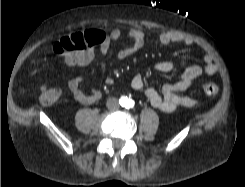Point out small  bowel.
I'll return each mask as SVG.
<instances>
[{
  "instance_id": "obj_1",
  "label": "small bowel",
  "mask_w": 245,
  "mask_h": 187,
  "mask_svg": "<svg viewBox=\"0 0 245 187\" xmlns=\"http://www.w3.org/2000/svg\"><path fill=\"white\" fill-rule=\"evenodd\" d=\"M86 37L91 46L98 44L101 56L109 54L112 42L122 38L129 39L132 42L131 45L117 52L116 56L120 60L130 57L140 50L146 41L145 33L138 29H129L127 31L113 29L109 33H105L98 28H90L86 31ZM156 37L160 44L165 46L172 43H181L186 47L194 45L191 37L174 31L160 30L157 32ZM94 57L95 52L93 49L87 48L81 51L66 53L62 61L67 66H86L92 62ZM203 63V68L198 65L187 68L180 75L176 83L163 86L160 92L153 87H146L143 77L139 74L132 78L131 86L134 90L144 91L150 104L162 112L171 113L181 107H193L198 102L180 93L191 87L203 73L212 76L217 72V66L210 55L203 57ZM154 68L159 73H169L174 69V65L170 61H163L157 63ZM83 80L84 76L78 75L68 82L67 88L73 98L81 104H91L98 101L102 95L101 91L97 88H92L89 91L82 90L80 86ZM111 83V80L108 79L107 84L111 85Z\"/></svg>"
}]
</instances>
